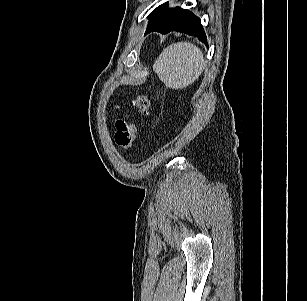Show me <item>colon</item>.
<instances>
[{"label": "colon", "mask_w": 307, "mask_h": 301, "mask_svg": "<svg viewBox=\"0 0 307 301\" xmlns=\"http://www.w3.org/2000/svg\"><path fill=\"white\" fill-rule=\"evenodd\" d=\"M133 106L135 113L132 116L119 118L115 123V142L124 151L133 146L139 123L149 115L150 101L146 95L139 94L134 98Z\"/></svg>", "instance_id": "1"}]
</instances>
